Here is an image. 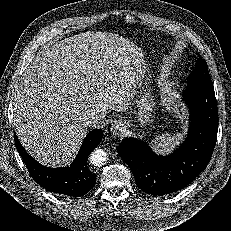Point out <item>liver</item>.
<instances>
[{
    "mask_svg": "<svg viewBox=\"0 0 231 231\" xmlns=\"http://www.w3.org/2000/svg\"><path fill=\"white\" fill-rule=\"evenodd\" d=\"M142 53L118 34L87 31L56 42L25 69L14 95L19 140L37 161L58 165L78 151L83 117L125 111ZM95 127V126H93Z\"/></svg>",
    "mask_w": 231,
    "mask_h": 231,
    "instance_id": "6515ba94",
    "label": "liver"
}]
</instances>
